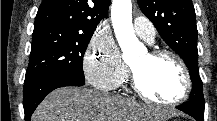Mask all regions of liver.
Returning a JSON list of instances; mask_svg holds the SVG:
<instances>
[{
    "label": "liver",
    "mask_w": 217,
    "mask_h": 121,
    "mask_svg": "<svg viewBox=\"0 0 217 121\" xmlns=\"http://www.w3.org/2000/svg\"><path fill=\"white\" fill-rule=\"evenodd\" d=\"M151 110L126 98L74 87L52 91L32 115V121H153Z\"/></svg>",
    "instance_id": "obj_1"
}]
</instances>
